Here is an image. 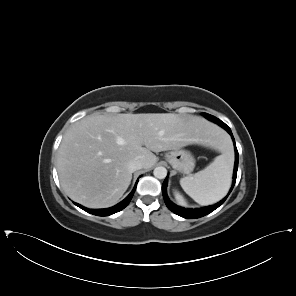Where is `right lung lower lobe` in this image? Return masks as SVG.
I'll list each match as a JSON object with an SVG mask.
<instances>
[{"mask_svg": "<svg viewBox=\"0 0 296 296\" xmlns=\"http://www.w3.org/2000/svg\"><path fill=\"white\" fill-rule=\"evenodd\" d=\"M137 182H138V180H137ZM137 182H136V185H135L134 189L132 190V192L122 202L118 203L117 205H115L113 207L106 208V209H88V208H85L77 203H74V204L77 205L78 207H80L81 209H83L84 211L94 214V215H97V216H108V215L114 214L116 212L121 211L129 204V202L132 199V196L136 190Z\"/></svg>", "mask_w": 296, "mask_h": 296, "instance_id": "obj_1", "label": "right lung lower lobe"}]
</instances>
